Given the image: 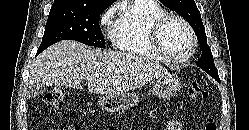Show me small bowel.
Segmentation results:
<instances>
[{"instance_id": "c3829d8e", "label": "small bowel", "mask_w": 249, "mask_h": 130, "mask_svg": "<svg viewBox=\"0 0 249 130\" xmlns=\"http://www.w3.org/2000/svg\"><path fill=\"white\" fill-rule=\"evenodd\" d=\"M166 125L168 130H185L182 123L177 120L169 119L166 121ZM63 130H85V129L82 128L81 126L70 125Z\"/></svg>"}]
</instances>
